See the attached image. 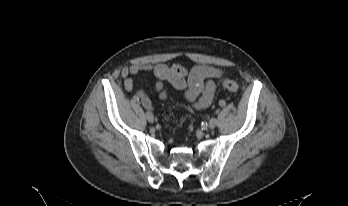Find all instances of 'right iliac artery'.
<instances>
[{
    "label": "right iliac artery",
    "mask_w": 348,
    "mask_h": 206,
    "mask_svg": "<svg viewBox=\"0 0 348 206\" xmlns=\"http://www.w3.org/2000/svg\"><path fill=\"white\" fill-rule=\"evenodd\" d=\"M140 101V96L139 95H134L133 97V102L138 103Z\"/></svg>",
    "instance_id": "obj_1"
}]
</instances>
